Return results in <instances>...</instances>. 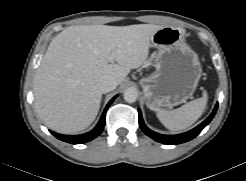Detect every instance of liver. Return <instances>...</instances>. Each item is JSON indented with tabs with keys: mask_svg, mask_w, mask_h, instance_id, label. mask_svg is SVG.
Returning a JSON list of instances; mask_svg holds the SVG:
<instances>
[{
	"mask_svg": "<svg viewBox=\"0 0 246 181\" xmlns=\"http://www.w3.org/2000/svg\"><path fill=\"white\" fill-rule=\"evenodd\" d=\"M162 27L81 25L55 36L34 80V105L45 125L62 134L86 129L100 108V77L122 83L146 62L151 39Z\"/></svg>",
	"mask_w": 246,
	"mask_h": 181,
	"instance_id": "1",
	"label": "liver"
}]
</instances>
